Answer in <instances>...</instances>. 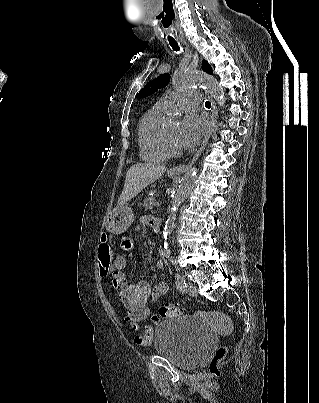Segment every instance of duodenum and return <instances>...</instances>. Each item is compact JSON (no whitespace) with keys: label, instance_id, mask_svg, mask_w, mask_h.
I'll use <instances>...</instances> for the list:
<instances>
[{"label":"duodenum","instance_id":"1","mask_svg":"<svg viewBox=\"0 0 319 403\" xmlns=\"http://www.w3.org/2000/svg\"><path fill=\"white\" fill-rule=\"evenodd\" d=\"M159 226H160V221L155 218V219L153 220L152 228H153L155 231H157V230L159 229Z\"/></svg>","mask_w":319,"mask_h":403}]
</instances>
